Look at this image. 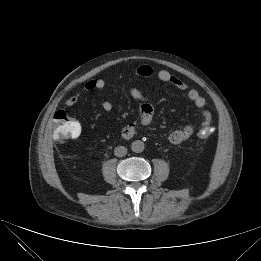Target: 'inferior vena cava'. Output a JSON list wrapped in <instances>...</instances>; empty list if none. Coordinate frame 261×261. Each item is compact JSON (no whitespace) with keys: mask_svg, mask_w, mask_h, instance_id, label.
Here are the masks:
<instances>
[{"mask_svg":"<svg viewBox=\"0 0 261 261\" xmlns=\"http://www.w3.org/2000/svg\"><path fill=\"white\" fill-rule=\"evenodd\" d=\"M114 154L117 157H123L127 154V149L124 146H117L114 150Z\"/></svg>","mask_w":261,"mask_h":261,"instance_id":"1","label":"inferior vena cava"}]
</instances>
